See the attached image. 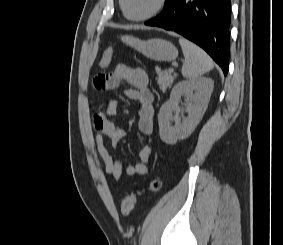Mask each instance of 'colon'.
I'll use <instances>...</instances> for the list:
<instances>
[{
    "label": "colon",
    "instance_id": "1",
    "mask_svg": "<svg viewBox=\"0 0 283 245\" xmlns=\"http://www.w3.org/2000/svg\"><path fill=\"white\" fill-rule=\"evenodd\" d=\"M114 53L115 50L112 47H109L106 50H104L98 62L99 66L101 67L108 66L113 60ZM160 187H161L160 181L158 179H152L146 188H137L134 191L126 193L121 201V205H120L121 213L125 216L130 215L134 209L135 203L139 196H141L146 191L156 192L160 189Z\"/></svg>",
    "mask_w": 283,
    "mask_h": 245
}]
</instances>
